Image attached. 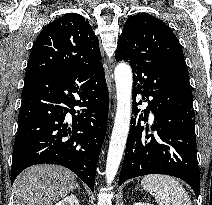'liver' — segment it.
Listing matches in <instances>:
<instances>
[{
    "mask_svg": "<svg viewBox=\"0 0 212 205\" xmlns=\"http://www.w3.org/2000/svg\"><path fill=\"white\" fill-rule=\"evenodd\" d=\"M75 188V174L56 165L24 170L13 184L16 205H53Z\"/></svg>",
    "mask_w": 212,
    "mask_h": 205,
    "instance_id": "liver-1",
    "label": "liver"
}]
</instances>
